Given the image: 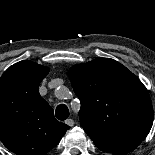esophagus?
<instances>
[{"label": "esophagus", "instance_id": "34e87169", "mask_svg": "<svg viewBox=\"0 0 155 155\" xmlns=\"http://www.w3.org/2000/svg\"><path fill=\"white\" fill-rule=\"evenodd\" d=\"M65 123H66L68 126H70V127L74 126V124H75V122H74L73 119H67V120L65 121Z\"/></svg>", "mask_w": 155, "mask_h": 155}]
</instances>
